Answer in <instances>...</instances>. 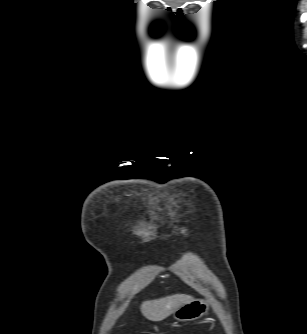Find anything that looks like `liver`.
I'll list each match as a JSON object with an SVG mask.
<instances>
[{"instance_id": "6515ba94", "label": "liver", "mask_w": 307, "mask_h": 334, "mask_svg": "<svg viewBox=\"0 0 307 334\" xmlns=\"http://www.w3.org/2000/svg\"><path fill=\"white\" fill-rule=\"evenodd\" d=\"M192 300L194 299L190 295L175 294L157 300L144 301L141 305V313L150 321H162Z\"/></svg>"}]
</instances>
